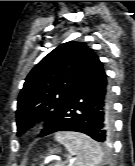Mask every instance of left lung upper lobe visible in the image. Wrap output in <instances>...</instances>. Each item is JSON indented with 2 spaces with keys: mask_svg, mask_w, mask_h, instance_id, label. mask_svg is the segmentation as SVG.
I'll return each instance as SVG.
<instances>
[{
  "mask_svg": "<svg viewBox=\"0 0 135 166\" xmlns=\"http://www.w3.org/2000/svg\"><path fill=\"white\" fill-rule=\"evenodd\" d=\"M95 53L84 42L70 41L45 56L25 79L18 98V131L27 123H52L67 106L72 90ZM18 135V133H17Z\"/></svg>",
  "mask_w": 135,
  "mask_h": 166,
  "instance_id": "1",
  "label": "left lung upper lobe"
}]
</instances>
